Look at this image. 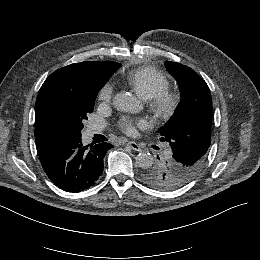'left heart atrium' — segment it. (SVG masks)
<instances>
[{"instance_id":"obj_1","label":"left heart atrium","mask_w":260,"mask_h":260,"mask_svg":"<svg viewBox=\"0 0 260 260\" xmlns=\"http://www.w3.org/2000/svg\"><path fill=\"white\" fill-rule=\"evenodd\" d=\"M118 126L121 131H123L127 135H136L137 128H146L148 127V122L144 119H137L134 120L130 117H123L119 123Z\"/></svg>"}]
</instances>
